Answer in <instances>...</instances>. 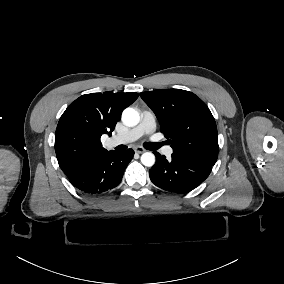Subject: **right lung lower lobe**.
Here are the masks:
<instances>
[{"mask_svg": "<svg viewBox=\"0 0 284 284\" xmlns=\"http://www.w3.org/2000/svg\"><path fill=\"white\" fill-rule=\"evenodd\" d=\"M133 150L109 151L69 178L76 188L88 194H101L118 186L124 170L133 158Z\"/></svg>", "mask_w": 284, "mask_h": 284, "instance_id": "obj_1", "label": "right lung lower lobe"}]
</instances>
